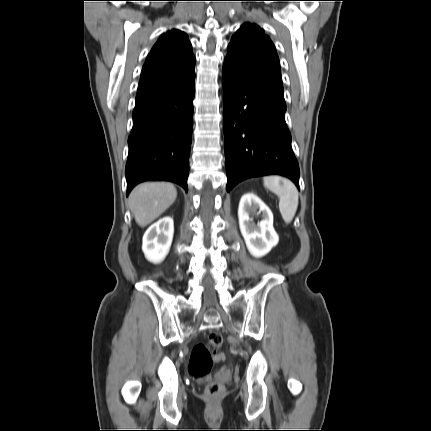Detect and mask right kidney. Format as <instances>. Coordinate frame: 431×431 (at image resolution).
<instances>
[{
    "label": "right kidney",
    "mask_w": 431,
    "mask_h": 431,
    "mask_svg": "<svg viewBox=\"0 0 431 431\" xmlns=\"http://www.w3.org/2000/svg\"><path fill=\"white\" fill-rule=\"evenodd\" d=\"M173 233V219L169 216L152 224L143 236L142 250L145 257L153 263L161 262L169 252Z\"/></svg>",
    "instance_id": "1"
}]
</instances>
